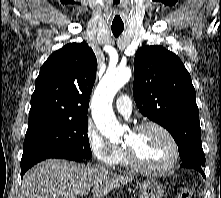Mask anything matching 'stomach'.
<instances>
[{
	"mask_svg": "<svg viewBox=\"0 0 221 198\" xmlns=\"http://www.w3.org/2000/svg\"><path fill=\"white\" fill-rule=\"evenodd\" d=\"M140 198H162L163 186L156 180L148 179L138 185Z\"/></svg>",
	"mask_w": 221,
	"mask_h": 198,
	"instance_id": "stomach-1",
	"label": "stomach"
}]
</instances>
